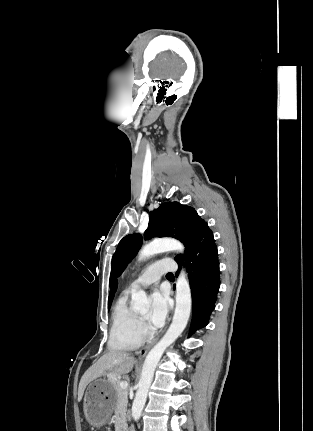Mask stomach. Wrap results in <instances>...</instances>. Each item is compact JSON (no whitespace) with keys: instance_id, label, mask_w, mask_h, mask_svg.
Returning a JSON list of instances; mask_svg holds the SVG:
<instances>
[{"instance_id":"0dacf381","label":"stomach","mask_w":313,"mask_h":431,"mask_svg":"<svg viewBox=\"0 0 313 431\" xmlns=\"http://www.w3.org/2000/svg\"><path fill=\"white\" fill-rule=\"evenodd\" d=\"M116 391L113 379H97L89 383L84 396V412L94 427L106 424L115 408Z\"/></svg>"}]
</instances>
